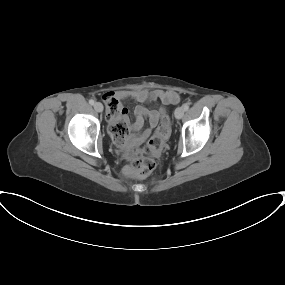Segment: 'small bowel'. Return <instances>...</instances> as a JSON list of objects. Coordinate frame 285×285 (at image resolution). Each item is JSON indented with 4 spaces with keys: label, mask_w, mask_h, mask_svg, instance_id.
<instances>
[{
    "label": "small bowel",
    "mask_w": 285,
    "mask_h": 285,
    "mask_svg": "<svg viewBox=\"0 0 285 285\" xmlns=\"http://www.w3.org/2000/svg\"><path fill=\"white\" fill-rule=\"evenodd\" d=\"M115 99H131L140 103H147L152 101H159L161 107L148 109L142 105H138L134 109V122L131 127H129V135L124 143L127 147H133L140 143L146 141L152 134L153 129L158 123L159 117L163 112L164 106L175 104L179 101V95L175 91H163V90H135V91H120L117 93H108L105 95L106 98ZM107 112V118L110 124H114L119 120H124L127 123L128 120V110L120 106L119 115L109 114ZM148 121V127L144 128L145 121ZM129 124V123H128Z\"/></svg>",
    "instance_id": "1"
}]
</instances>
